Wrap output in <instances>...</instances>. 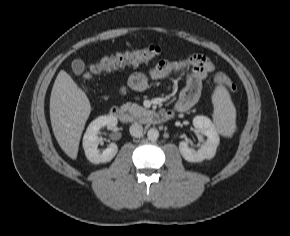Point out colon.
<instances>
[{"instance_id":"obj_1","label":"colon","mask_w":290,"mask_h":236,"mask_svg":"<svg viewBox=\"0 0 290 236\" xmlns=\"http://www.w3.org/2000/svg\"><path fill=\"white\" fill-rule=\"evenodd\" d=\"M160 52L161 50L158 46L150 45L103 57L98 63L90 66L89 70L85 73V78L90 79L104 71L150 61L158 57ZM215 82L224 86L231 93L236 91L235 85L224 73H217L215 75Z\"/></svg>"}]
</instances>
